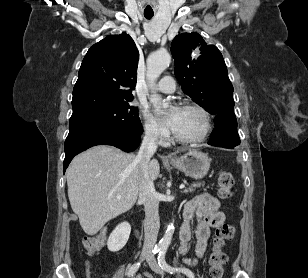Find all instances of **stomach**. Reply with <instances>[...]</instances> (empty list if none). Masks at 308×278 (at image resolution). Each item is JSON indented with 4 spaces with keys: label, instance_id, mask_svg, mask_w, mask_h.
Listing matches in <instances>:
<instances>
[{
    "label": "stomach",
    "instance_id": "0dacf381",
    "mask_svg": "<svg viewBox=\"0 0 308 278\" xmlns=\"http://www.w3.org/2000/svg\"><path fill=\"white\" fill-rule=\"evenodd\" d=\"M210 161L207 154L190 150L183 156L172 160L170 164L191 178L201 179L208 173Z\"/></svg>",
    "mask_w": 308,
    "mask_h": 278
}]
</instances>
